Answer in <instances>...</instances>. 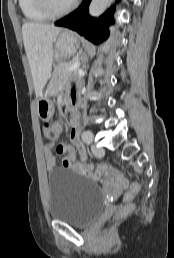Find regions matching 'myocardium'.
Here are the masks:
<instances>
[{"label":"myocardium","instance_id":"1","mask_svg":"<svg viewBox=\"0 0 174 258\" xmlns=\"http://www.w3.org/2000/svg\"><path fill=\"white\" fill-rule=\"evenodd\" d=\"M36 1L40 10L43 13H45L49 18L61 17L69 13L76 6V0L72 1L69 5H67L62 9L55 8L51 0H36Z\"/></svg>","mask_w":174,"mask_h":258}]
</instances>
